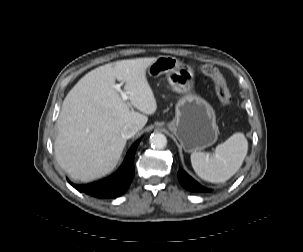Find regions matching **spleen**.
<instances>
[{
	"mask_svg": "<svg viewBox=\"0 0 303 252\" xmlns=\"http://www.w3.org/2000/svg\"><path fill=\"white\" fill-rule=\"evenodd\" d=\"M248 151V141L243 133H235L216 146L214 153L193 152L191 164L196 174L212 183H223L241 167Z\"/></svg>",
	"mask_w": 303,
	"mask_h": 252,
	"instance_id": "spleen-1",
	"label": "spleen"
}]
</instances>
